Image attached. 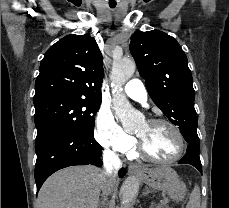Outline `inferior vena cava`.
<instances>
[{"mask_svg": "<svg viewBox=\"0 0 229 208\" xmlns=\"http://www.w3.org/2000/svg\"><path fill=\"white\" fill-rule=\"evenodd\" d=\"M103 162H104V172H102L103 182H102V190L103 196H108L111 192V184L106 182L108 180H115L116 176H114L113 172L117 170L116 166H120L121 162L118 156H115L114 152H110V150H105L103 152Z\"/></svg>", "mask_w": 229, "mask_h": 208, "instance_id": "inferior-vena-cava-1", "label": "inferior vena cava"}]
</instances>
